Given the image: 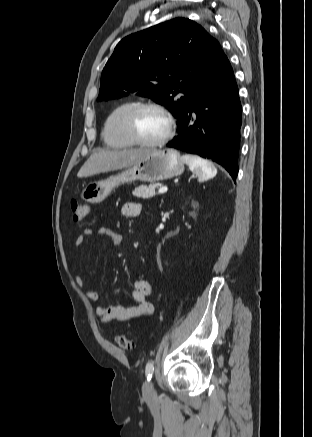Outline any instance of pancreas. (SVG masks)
<instances>
[{
	"mask_svg": "<svg viewBox=\"0 0 312 437\" xmlns=\"http://www.w3.org/2000/svg\"><path fill=\"white\" fill-rule=\"evenodd\" d=\"M156 185H141L133 191V195L138 198L148 199L155 196Z\"/></svg>",
	"mask_w": 312,
	"mask_h": 437,
	"instance_id": "1",
	"label": "pancreas"
}]
</instances>
